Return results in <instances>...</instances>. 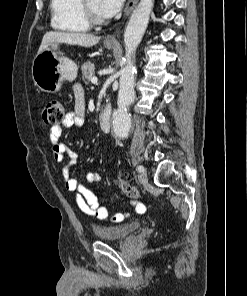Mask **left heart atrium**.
I'll return each mask as SVG.
<instances>
[{"instance_id":"left-heart-atrium-1","label":"left heart atrium","mask_w":247,"mask_h":296,"mask_svg":"<svg viewBox=\"0 0 247 296\" xmlns=\"http://www.w3.org/2000/svg\"><path fill=\"white\" fill-rule=\"evenodd\" d=\"M125 0H99L98 12L101 17L110 18L121 9Z\"/></svg>"}]
</instances>
